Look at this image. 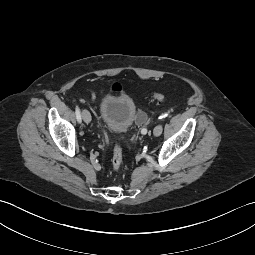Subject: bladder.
<instances>
[{
    "mask_svg": "<svg viewBox=\"0 0 255 255\" xmlns=\"http://www.w3.org/2000/svg\"><path fill=\"white\" fill-rule=\"evenodd\" d=\"M136 113V104L128 94H107L100 102V118L111 133L126 132L135 122Z\"/></svg>",
    "mask_w": 255,
    "mask_h": 255,
    "instance_id": "1",
    "label": "bladder"
}]
</instances>
